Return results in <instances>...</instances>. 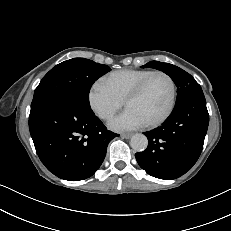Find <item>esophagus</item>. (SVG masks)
<instances>
[{
	"label": "esophagus",
	"mask_w": 231,
	"mask_h": 231,
	"mask_svg": "<svg viewBox=\"0 0 231 231\" xmlns=\"http://www.w3.org/2000/svg\"><path fill=\"white\" fill-rule=\"evenodd\" d=\"M131 135H132L131 133H123L121 134V137L128 139L131 137Z\"/></svg>",
	"instance_id": "1"
}]
</instances>
